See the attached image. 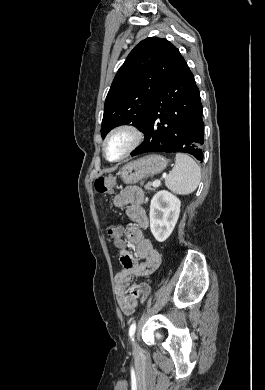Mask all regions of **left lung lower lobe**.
I'll return each mask as SVG.
<instances>
[{
  "mask_svg": "<svg viewBox=\"0 0 265 390\" xmlns=\"http://www.w3.org/2000/svg\"><path fill=\"white\" fill-rule=\"evenodd\" d=\"M142 132L145 140L132 156L146 152H178L203 161L200 92L182 56L152 100Z\"/></svg>",
  "mask_w": 265,
  "mask_h": 390,
  "instance_id": "left-lung-lower-lobe-1",
  "label": "left lung lower lobe"
}]
</instances>
